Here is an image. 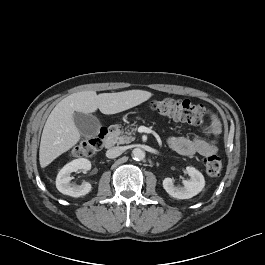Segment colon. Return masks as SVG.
I'll return each instance as SVG.
<instances>
[{
  "label": "colon",
  "mask_w": 265,
  "mask_h": 265,
  "mask_svg": "<svg viewBox=\"0 0 265 265\" xmlns=\"http://www.w3.org/2000/svg\"><path fill=\"white\" fill-rule=\"evenodd\" d=\"M150 106L153 111L162 116L193 125L203 124L208 117V110L205 107L187 100L165 98L152 101ZM106 134L107 130L102 128L95 137L86 139L76 146L73 150L74 155L84 157L94 154L101 147ZM205 167L208 175L217 176L222 169L220 156L215 153L209 155L205 161Z\"/></svg>",
  "instance_id": "obj_1"
}]
</instances>
